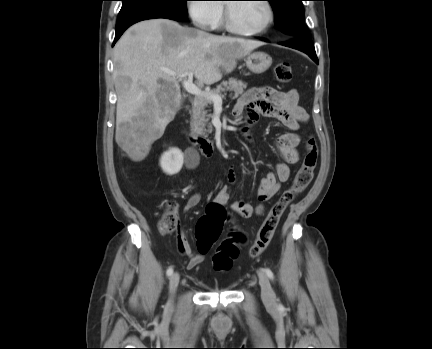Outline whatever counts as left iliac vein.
Here are the masks:
<instances>
[{
	"label": "left iliac vein",
	"mask_w": 432,
	"mask_h": 349,
	"mask_svg": "<svg viewBox=\"0 0 432 349\" xmlns=\"http://www.w3.org/2000/svg\"><path fill=\"white\" fill-rule=\"evenodd\" d=\"M258 276H259V284L261 287V297L264 304L269 308H275L276 297H275L274 290L270 284L269 278L262 270L258 271Z\"/></svg>",
	"instance_id": "left-iliac-vein-1"
}]
</instances>
